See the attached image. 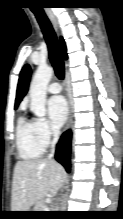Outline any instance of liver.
<instances>
[{"mask_svg":"<svg viewBox=\"0 0 123 219\" xmlns=\"http://www.w3.org/2000/svg\"><path fill=\"white\" fill-rule=\"evenodd\" d=\"M66 178L64 168L51 159L18 161L12 184V211H28L48 194L55 196Z\"/></svg>","mask_w":123,"mask_h":219,"instance_id":"1","label":"liver"}]
</instances>
